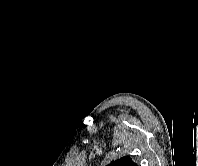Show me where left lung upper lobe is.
<instances>
[{"label": "left lung upper lobe", "instance_id": "obj_1", "mask_svg": "<svg viewBox=\"0 0 198 166\" xmlns=\"http://www.w3.org/2000/svg\"><path fill=\"white\" fill-rule=\"evenodd\" d=\"M107 166H138L129 156L122 157Z\"/></svg>", "mask_w": 198, "mask_h": 166}]
</instances>
